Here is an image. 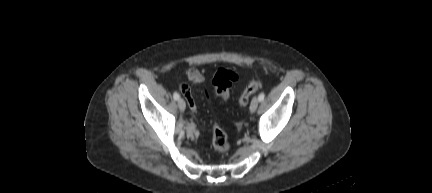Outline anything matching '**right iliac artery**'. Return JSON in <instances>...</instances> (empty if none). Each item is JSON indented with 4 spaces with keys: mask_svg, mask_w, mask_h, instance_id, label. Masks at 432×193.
Masks as SVG:
<instances>
[{
    "mask_svg": "<svg viewBox=\"0 0 432 193\" xmlns=\"http://www.w3.org/2000/svg\"><path fill=\"white\" fill-rule=\"evenodd\" d=\"M173 97L175 100H179L180 95L177 92H174Z\"/></svg>",
    "mask_w": 432,
    "mask_h": 193,
    "instance_id": "right-iliac-artery-1",
    "label": "right iliac artery"
}]
</instances>
